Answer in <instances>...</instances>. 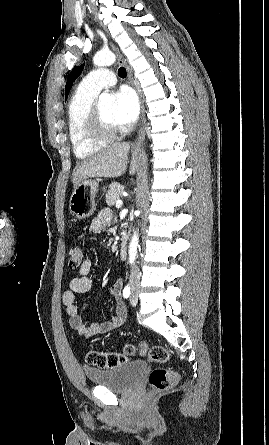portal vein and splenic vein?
<instances>
[{
    "mask_svg": "<svg viewBox=\"0 0 269 445\" xmlns=\"http://www.w3.org/2000/svg\"><path fill=\"white\" fill-rule=\"evenodd\" d=\"M122 206V201L121 200H117L116 201V207L120 208Z\"/></svg>",
    "mask_w": 269,
    "mask_h": 445,
    "instance_id": "18ae733b",
    "label": "portal vein and splenic vein"
}]
</instances>
